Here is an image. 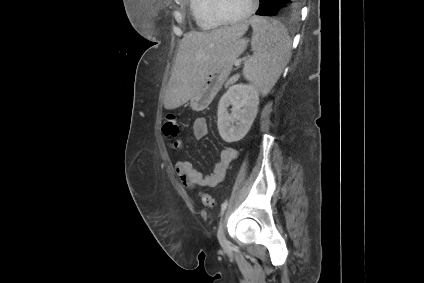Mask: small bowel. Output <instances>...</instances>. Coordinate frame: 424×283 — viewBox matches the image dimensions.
I'll return each instance as SVG.
<instances>
[{
    "mask_svg": "<svg viewBox=\"0 0 424 283\" xmlns=\"http://www.w3.org/2000/svg\"><path fill=\"white\" fill-rule=\"evenodd\" d=\"M192 133L196 139H201L208 134V124L205 118H197L192 126ZM238 157L235 148L227 146L220 152L219 161L215 164L210 174H203L190 161H178L175 165V172L180 178L182 184L188 189H194L197 186L215 187L222 182L231 163Z\"/></svg>",
    "mask_w": 424,
    "mask_h": 283,
    "instance_id": "small-bowel-1",
    "label": "small bowel"
}]
</instances>
